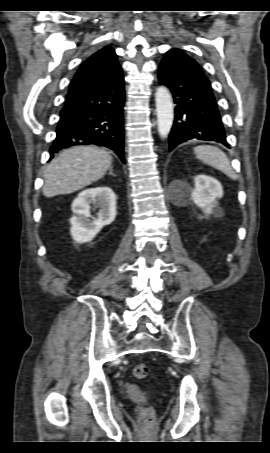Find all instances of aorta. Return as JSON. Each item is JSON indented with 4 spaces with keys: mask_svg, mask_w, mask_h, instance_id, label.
<instances>
[{
    "mask_svg": "<svg viewBox=\"0 0 270 453\" xmlns=\"http://www.w3.org/2000/svg\"><path fill=\"white\" fill-rule=\"evenodd\" d=\"M157 126L161 138L170 133L174 119V106L171 93L165 86H159L155 93Z\"/></svg>",
    "mask_w": 270,
    "mask_h": 453,
    "instance_id": "762f6f07",
    "label": "aorta"
}]
</instances>
